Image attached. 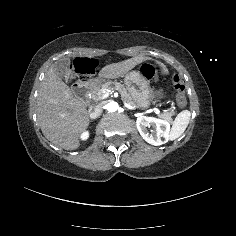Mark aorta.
<instances>
[{"instance_id": "aorta-1", "label": "aorta", "mask_w": 236, "mask_h": 236, "mask_svg": "<svg viewBox=\"0 0 236 236\" xmlns=\"http://www.w3.org/2000/svg\"><path fill=\"white\" fill-rule=\"evenodd\" d=\"M117 109H118V104H117V102H109V103L107 104V110H108L109 112H116Z\"/></svg>"}]
</instances>
